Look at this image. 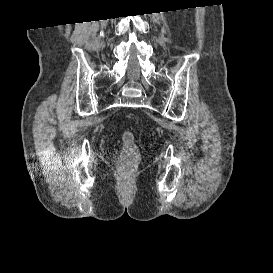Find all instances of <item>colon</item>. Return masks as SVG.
Here are the masks:
<instances>
[{"label":"colon","instance_id":"1","mask_svg":"<svg viewBox=\"0 0 273 273\" xmlns=\"http://www.w3.org/2000/svg\"><path fill=\"white\" fill-rule=\"evenodd\" d=\"M123 148L120 154V166L123 171L129 170L138 157L137 146L131 131H125L122 136Z\"/></svg>","mask_w":273,"mask_h":273}]
</instances>
